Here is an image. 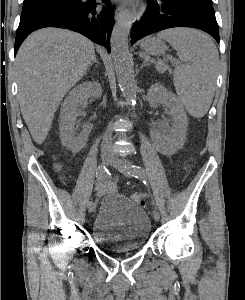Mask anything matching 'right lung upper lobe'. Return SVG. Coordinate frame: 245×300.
<instances>
[{
  "label": "right lung upper lobe",
  "instance_id": "cb5924a9",
  "mask_svg": "<svg viewBox=\"0 0 245 300\" xmlns=\"http://www.w3.org/2000/svg\"><path fill=\"white\" fill-rule=\"evenodd\" d=\"M24 1H32V0H24Z\"/></svg>",
  "mask_w": 245,
  "mask_h": 300
}]
</instances>
